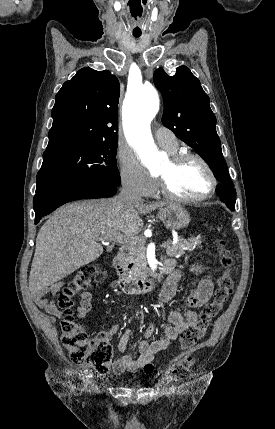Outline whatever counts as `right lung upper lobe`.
<instances>
[{
    "mask_svg": "<svg viewBox=\"0 0 275 429\" xmlns=\"http://www.w3.org/2000/svg\"><path fill=\"white\" fill-rule=\"evenodd\" d=\"M119 81L109 71L82 68L56 95L46 151L70 144L118 140Z\"/></svg>",
    "mask_w": 275,
    "mask_h": 429,
    "instance_id": "1",
    "label": "right lung upper lobe"
}]
</instances>
